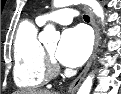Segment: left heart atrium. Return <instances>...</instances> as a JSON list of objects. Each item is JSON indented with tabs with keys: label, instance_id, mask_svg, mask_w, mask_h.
<instances>
[{
	"label": "left heart atrium",
	"instance_id": "39dd6f15",
	"mask_svg": "<svg viewBox=\"0 0 121 94\" xmlns=\"http://www.w3.org/2000/svg\"><path fill=\"white\" fill-rule=\"evenodd\" d=\"M91 50V39L82 27L65 30L56 49V58L68 67L82 65L88 58Z\"/></svg>",
	"mask_w": 121,
	"mask_h": 94
}]
</instances>
